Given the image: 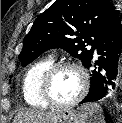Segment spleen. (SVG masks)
Wrapping results in <instances>:
<instances>
[{
    "mask_svg": "<svg viewBox=\"0 0 122 123\" xmlns=\"http://www.w3.org/2000/svg\"><path fill=\"white\" fill-rule=\"evenodd\" d=\"M81 110L90 118V123H104L102 108L97 103H87Z\"/></svg>",
    "mask_w": 122,
    "mask_h": 123,
    "instance_id": "3e777b00",
    "label": "spleen"
}]
</instances>
